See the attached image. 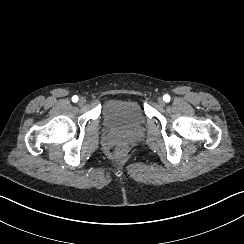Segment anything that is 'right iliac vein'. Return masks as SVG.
<instances>
[{
    "label": "right iliac vein",
    "instance_id": "1",
    "mask_svg": "<svg viewBox=\"0 0 244 244\" xmlns=\"http://www.w3.org/2000/svg\"><path fill=\"white\" fill-rule=\"evenodd\" d=\"M79 105L80 106H83V105H85L86 104V99L84 98V97H81L80 99H79Z\"/></svg>",
    "mask_w": 244,
    "mask_h": 244
}]
</instances>
